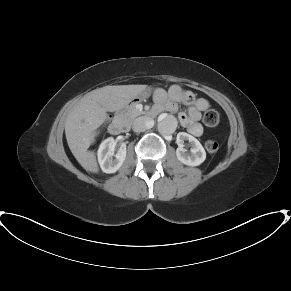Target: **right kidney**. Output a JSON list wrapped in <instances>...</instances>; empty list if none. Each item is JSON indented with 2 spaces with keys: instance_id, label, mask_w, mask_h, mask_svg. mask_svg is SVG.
<instances>
[{
  "instance_id": "obj_1",
  "label": "right kidney",
  "mask_w": 291,
  "mask_h": 291,
  "mask_svg": "<svg viewBox=\"0 0 291 291\" xmlns=\"http://www.w3.org/2000/svg\"><path fill=\"white\" fill-rule=\"evenodd\" d=\"M114 150V139L112 137L105 139L99 146L98 161L105 173H115L126 158V145L122 144L116 154Z\"/></svg>"
}]
</instances>
